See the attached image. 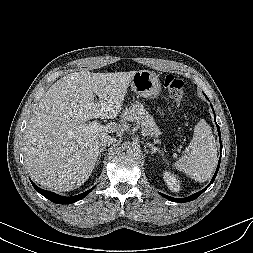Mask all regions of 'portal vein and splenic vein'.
<instances>
[{
    "label": "portal vein and splenic vein",
    "instance_id": "1",
    "mask_svg": "<svg viewBox=\"0 0 253 253\" xmlns=\"http://www.w3.org/2000/svg\"><path fill=\"white\" fill-rule=\"evenodd\" d=\"M90 129L95 130V131H99L103 129V126L100 125V122L98 121H92L89 126Z\"/></svg>",
    "mask_w": 253,
    "mask_h": 253
}]
</instances>
